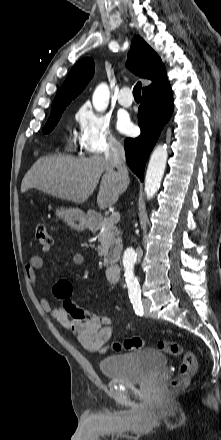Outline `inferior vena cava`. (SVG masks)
Segmentation results:
<instances>
[{
  "label": "inferior vena cava",
  "mask_w": 221,
  "mask_h": 440,
  "mask_svg": "<svg viewBox=\"0 0 221 440\" xmlns=\"http://www.w3.org/2000/svg\"><path fill=\"white\" fill-rule=\"evenodd\" d=\"M105 160L117 169V175L126 183L129 181L124 147L116 140L110 139L105 152Z\"/></svg>",
  "instance_id": "602c4592"
}]
</instances>
